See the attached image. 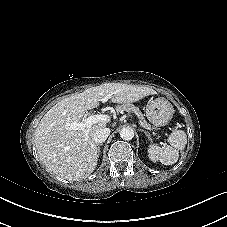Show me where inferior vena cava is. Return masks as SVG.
Listing matches in <instances>:
<instances>
[{
    "instance_id": "inferior-vena-cava-1",
    "label": "inferior vena cava",
    "mask_w": 227,
    "mask_h": 227,
    "mask_svg": "<svg viewBox=\"0 0 227 227\" xmlns=\"http://www.w3.org/2000/svg\"><path fill=\"white\" fill-rule=\"evenodd\" d=\"M110 134V129L109 128H100L96 130V132L93 135L94 142L96 144H100L105 142V140L108 138Z\"/></svg>"
}]
</instances>
